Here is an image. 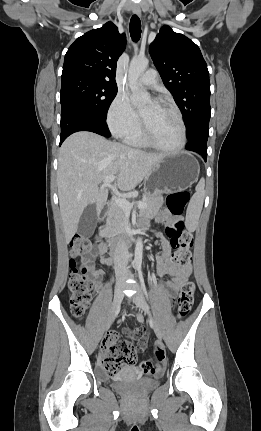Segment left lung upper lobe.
I'll use <instances>...</instances> for the list:
<instances>
[{
  "label": "left lung upper lobe",
  "instance_id": "1",
  "mask_svg": "<svg viewBox=\"0 0 261 431\" xmlns=\"http://www.w3.org/2000/svg\"><path fill=\"white\" fill-rule=\"evenodd\" d=\"M152 60L166 88L174 96L191 139L209 128L210 81L199 47L169 26L160 29L149 47Z\"/></svg>",
  "mask_w": 261,
  "mask_h": 431
}]
</instances>
